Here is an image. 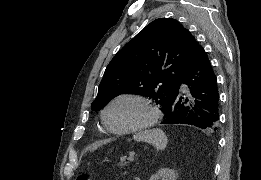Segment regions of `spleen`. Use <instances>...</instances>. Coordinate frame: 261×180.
Returning a JSON list of instances; mask_svg holds the SVG:
<instances>
[{
	"instance_id": "3e777b00",
	"label": "spleen",
	"mask_w": 261,
	"mask_h": 180,
	"mask_svg": "<svg viewBox=\"0 0 261 180\" xmlns=\"http://www.w3.org/2000/svg\"><path fill=\"white\" fill-rule=\"evenodd\" d=\"M134 140H137V142H148V144H153L157 152H159V150H165L167 146V136H165L164 132L159 130V128L138 132V134H135Z\"/></svg>"
}]
</instances>
